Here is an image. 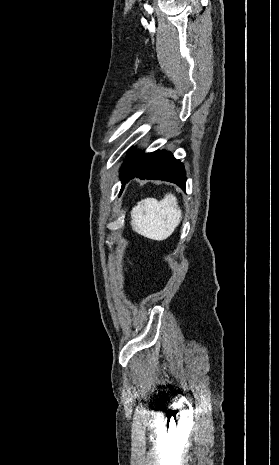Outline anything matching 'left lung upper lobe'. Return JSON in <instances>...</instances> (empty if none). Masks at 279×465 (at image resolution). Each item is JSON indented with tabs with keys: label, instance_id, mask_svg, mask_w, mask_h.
Returning <instances> with one entry per match:
<instances>
[{
	"label": "left lung upper lobe",
	"instance_id": "left-lung-upper-lobe-1",
	"mask_svg": "<svg viewBox=\"0 0 279 465\" xmlns=\"http://www.w3.org/2000/svg\"><path fill=\"white\" fill-rule=\"evenodd\" d=\"M155 153L156 151L147 154L140 151H138L137 154L131 152L130 155L126 157L121 168L122 184L124 185V183L127 182L129 178L134 175L144 164H146Z\"/></svg>",
	"mask_w": 279,
	"mask_h": 465
}]
</instances>
